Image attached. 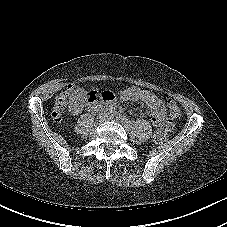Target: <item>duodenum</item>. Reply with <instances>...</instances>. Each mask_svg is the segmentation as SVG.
<instances>
[{
    "label": "duodenum",
    "instance_id": "1",
    "mask_svg": "<svg viewBox=\"0 0 227 227\" xmlns=\"http://www.w3.org/2000/svg\"><path fill=\"white\" fill-rule=\"evenodd\" d=\"M87 103L92 109L98 110L101 108L114 107V97L111 94H102L100 91L93 90L87 94Z\"/></svg>",
    "mask_w": 227,
    "mask_h": 227
}]
</instances>
